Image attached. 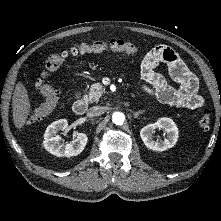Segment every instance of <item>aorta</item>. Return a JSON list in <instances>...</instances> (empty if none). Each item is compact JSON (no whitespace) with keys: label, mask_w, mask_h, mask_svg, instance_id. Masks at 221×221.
I'll use <instances>...</instances> for the list:
<instances>
[{"label":"aorta","mask_w":221,"mask_h":221,"mask_svg":"<svg viewBox=\"0 0 221 221\" xmlns=\"http://www.w3.org/2000/svg\"><path fill=\"white\" fill-rule=\"evenodd\" d=\"M112 121L116 125H122L125 121V115L121 112H115L112 115Z\"/></svg>","instance_id":"aorta-1"}]
</instances>
